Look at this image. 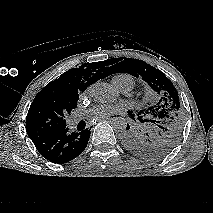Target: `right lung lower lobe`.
<instances>
[{
	"instance_id": "98d812e1",
	"label": "right lung lower lobe",
	"mask_w": 213,
	"mask_h": 213,
	"mask_svg": "<svg viewBox=\"0 0 213 213\" xmlns=\"http://www.w3.org/2000/svg\"><path fill=\"white\" fill-rule=\"evenodd\" d=\"M90 129L70 133L67 127L31 137L38 152L47 160L63 164L80 155L87 146Z\"/></svg>"
}]
</instances>
